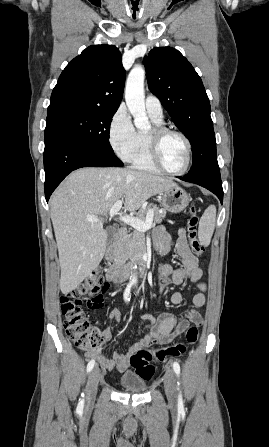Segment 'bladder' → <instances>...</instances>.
<instances>
[{"mask_svg": "<svg viewBox=\"0 0 269 447\" xmlns=\"http://www.w3.org/2000/svg\"><path fill=\"white\" fill-rule=\"evenodd\" d=\"M118 386L122 392L144 394L147 382L139 372H127L118 377Z\"/></svg>", "mask_w": 269, "mask_h": 447, "instance_id": "bladder-1", "label": "bladder"}]
</instances>
